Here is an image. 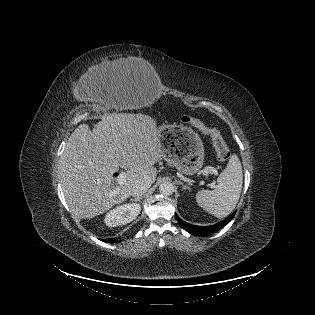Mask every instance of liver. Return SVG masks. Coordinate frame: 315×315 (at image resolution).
I'll return each mask as SVG.
<instances>
[{
    "label": "liver",
    "instance_id": "1",
    "mask_svg": "<svg viewBox=\"0 0 315 315\" xmlns=\"http://www.w3.org/2000/svg\"><path fill=\"white\" fill-rule=\"evenodd\" d=\"M122 64L127 67L129 61ZM160 157L156 121L149 115L109 114L92 131L87 124L79 125L60 158V180L70 210L80 219L103 214L126 200L137 183L155 182L154 164ZM119 167L127 170V177L116 184L119 193L112 196L113 174Z\"/></svg>",
    "mask_w": 315,
    "mask_h": 315
}]
</instances>
